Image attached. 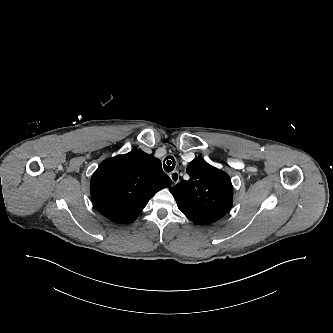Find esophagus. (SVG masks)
I'll use <instances>...</instances> for the list:
<instances>
[{"label": "esophagus", "mask_w": 333, "mask_h": 333, "mask_svg": "<svg viewBox=\"0 0 333 333\" xmlns=\"http://www.w3.org/2000/svg\"><path fill=\"white\" fill-rule=\"evenodd\" d=\"M180 177H181V174L179 173V171H173L170 174V178H171V181L173 184H177L180 181Z\"/></svg>", "instance_id": "34e87169"}]
</instances>
